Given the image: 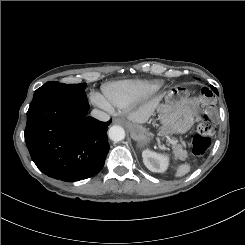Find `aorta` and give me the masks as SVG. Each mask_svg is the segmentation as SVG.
<instances>
[{"instance_id":"762f6f07","label":"aorta","mask_w":245,"mask_h":245,"mask_svg":"<svg viewBox=\"0 0 245 245\" xmlns=\"http://www.w3.org/2000/svg\"><path fill=\"white\" fill-rule=\"evenodd\" d=\"M108 135L112 141L119 142L125 138V130L121 126L114 125L110 127Z\"/></svg>"}]
</instances>
